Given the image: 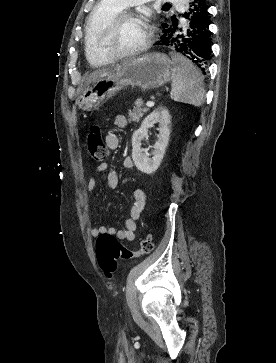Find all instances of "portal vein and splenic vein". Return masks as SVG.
<instances>
[{
    "label": "portal vein and splenic vein",
    "instance_id": "1",
    "mask_svg": "<svg viewBox=\"0 0 276 363\" xmlns=\"http://www.w3.org/2000/svg\"><path fill=\"white\" fill-rule=\"evenodd\" d=\"M146 106H148V107H152V106H154V102H153V101H148V102L146 103Z\"/></svg>",
    "mask_w": 276,
    "mask_h": 363
}]
</instances>
